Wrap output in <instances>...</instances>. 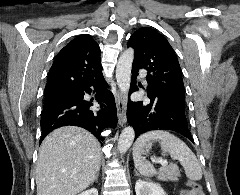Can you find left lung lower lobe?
<instances>
[{
    "instance_id": "0a47b994",
    "label": "left lung lower lobe",
    "mask_w": 240,
    "mask_h": 195,
    "mask_svg": "<svg viewBox=\"0 0 240 195\" xmlns=\"http://www.w3.org/2000/svg\"><path fill=\"white\" fill-rule=\"evenodd\" d=\"M138 73L132 72L130 93L137 91L135 86ZM150 102H128L127 120L134 128L135 139L151 130H172L192 140L185 116L184 104L169 98L158 89L146 90Z\"/></svg>"
}]
</instances>
